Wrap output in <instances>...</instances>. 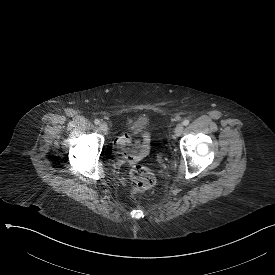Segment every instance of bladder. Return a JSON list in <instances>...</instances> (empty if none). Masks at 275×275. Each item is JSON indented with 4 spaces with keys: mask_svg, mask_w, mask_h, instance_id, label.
Returning a JSON list of instances; mask_svg holds the SVG:
<instances>
[{
    "mask_svg": "<svg viewBox=\"0 0 275 275\" xmlns=\"http://www.w3.org/2000/svg\"><path fill=\"white\" fill-rule=\"evenodd\" d=\"M148 122L146 119L133 118L130 122L127 123L125 127V132L129 136H140L142 131L147 127Z\"/></svg>",
    "mask_w": 275,
    "mask_h": 275,
    "instance_id": "31cf9c89",
    "label": "bladder"
}]
</instances>
